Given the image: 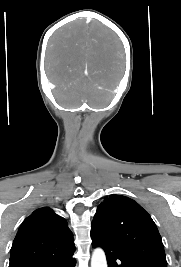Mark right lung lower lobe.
Listing matches in <instances>:
<instances>
[{"label":"right lung lower lobe","instance_id":"1","mask_svg":"<svg viewBox=\"0 0 181 267\" xmlns=\"http://www.w3.org/2000/svg\"><path fill=\"white\" fill-rule=\"evenodd\" d=\"M75 250L54 256L47 260H24L10 263L9 267H75V259L72 257Z\"/></svg>","mask_w":181,"mask_h":267}]
</instances>
